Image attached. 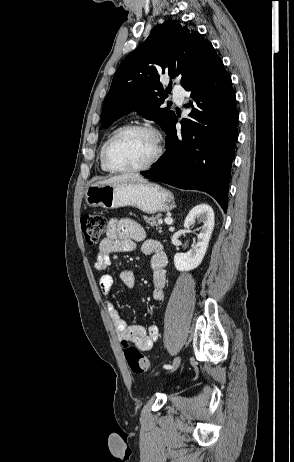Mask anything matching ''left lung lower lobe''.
<instances>
[{"label":"left lung lower lobe","mask_w":294,"mask_h":462,"mask_svg":"<svg viewBox=\"0 0 294 462\" xmlns=\"http://www.w3.org/2000/svg\"><path fill=\"white\" fill-rule=\"evenodd\" d=\"M190 100V119L181 121L177 133L176 116L166 134V154L144 177L182 189L207 192L227 211L231 165L238 138L235 94L231 78L217 58L184 86Z\"/></svg>","instance_id":"1"}]
</instances>
